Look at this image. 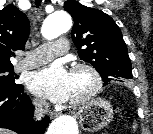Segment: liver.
I'll use <instances>...</instances> for the list:
<instances>
[{"instance_id":"liver-1","label":"liver","mask_w":153,"mask_h":134,"mask_svg":"<svg viewBox=\"0 0 153 134\" xmlns=\"http://www.w3.org/2000/svg\"><path fill=\"white\" fill-rule=\"evenodd\" d=\"M0 134H13V133L9 130H5V129L0 128Z\"/></svg>"}]
</instances>
